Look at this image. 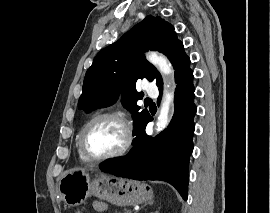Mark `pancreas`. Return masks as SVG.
I'll return each instance as SVG.
<instances>
[{
  "label": "pancreas",
  "instance_id": "pancreas-1",
  "mask_svg": "<svg viewBox=\"0 0 270 213\" xmlns=\"http://www.w3.org/2000/svg\"><path fill=\"white\" fill-rule=\"evenodd\" d=\"M115 213H121V212H115ZM126 213H130V212H126Z\"/></svg>",
  "mask_w": 270,
  "mask_h": 213
}]
</instances>
